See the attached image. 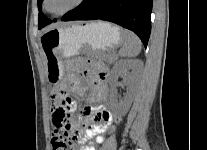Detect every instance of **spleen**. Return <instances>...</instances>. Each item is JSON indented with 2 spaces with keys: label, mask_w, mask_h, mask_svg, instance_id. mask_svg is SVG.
I'll return each instance as SVG.
<instances>
[{
  "label": "spleen",
  "mask_w": 207,
  "mask_h": 150,
  "mask_svg": "<svg viewBox=\"0 0 207 150\" xmlns=\"http://www.w3.org/2000/svg\"><path fill=\"white\" fill-rule=\"evenodd\" d=\"M141 51L140 39L131 31L123 30L121 39V48L119 56L123 58H133L139 55Z\"/></svg>",
  "instance_id": "obj_1"
}]
</instances>
